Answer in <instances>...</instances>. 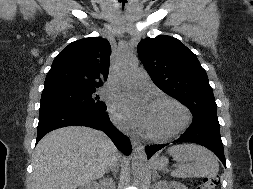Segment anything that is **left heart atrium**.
Masks as SVG:
<instances>
[{
    "label": "left heart atrium",
    "mask_w": 253,
    "mask_h": 189,
    "mask_svg": "<svg viewBox=\"0 0 253 189\" xmlns=\"http://www.w3.org/2000/svg\"><path fill=\"white\" fill-rule=\"evenodd\" d=\"M151 104L146 99L132 100L128 96L116 99L112 106L114 119L121 125L145 129Z\"/></svg>",
    "instance_id": "obj_1"
}]
</instances>
